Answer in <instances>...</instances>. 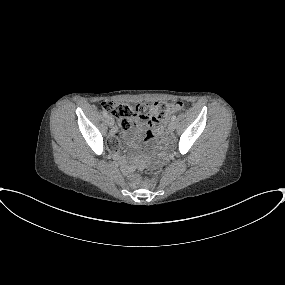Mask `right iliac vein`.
Wrapping results in <instances>:
<instances>
[{
    "instance_id": "obj_1",
    "label": "right iliac vein",
    "mask_w": 285,
    "mask_h": 285,
    "mask_svg": "<svg viewBox=\"0 0 285 285\" xmlns=\"http://www.w3.org/2000/svg\"><path fill=\"white\" fill-rule=\"evenodd\" d=\"M107 123H108V125L111 127V128H114V120H113V118L112 117H108L107 118Z\"/></svg>"
}]
</instances>
